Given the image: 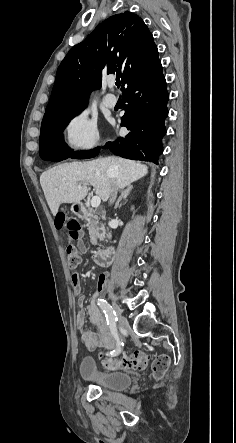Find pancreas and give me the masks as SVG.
Masks as SVG:
<instances>
[{
    "label": "pancreas",
    "mask_w": 236,
    "mask_h": 443,
    "mask_svg": "<svg viewBox=\"0 0 236 443\" xmlns=\"http://www.w3.org/2000/svg\"><path fill=\"white\" fill-rule=\"evenodd\" d=\"M88 231L90 235V242L93 245H98L99 241L103 240L105 235V228L99 223L98 217L93 214H87Z\"/></svg>",
    "instance_id": "cf45deb5"
}]
</instances>
